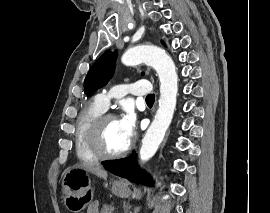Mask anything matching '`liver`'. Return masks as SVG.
Wrapping results in <instances>:
<instances>
[{
    "label": "liver",
    "instance_id": "obj_1",
    "mask_svg": "<svg viewBox=\"0 0 270 213\" xmlns=\"http://www.w3.org/2000/svg\"><path fill=\"white\" fill-rule=\"evenodd\" d=\"M76 168H81L84 169L85 171L91 172L101 178H106L107 177V171H105L104 169H102L100 166L96 165H87V164H83L81 166H78Z\"/></svg>",
    "mask_w": 270,
    "mask_h": 213
}]
</instances>
